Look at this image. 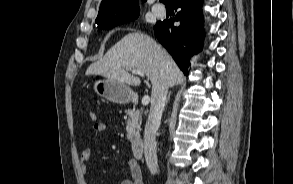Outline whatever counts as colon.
I'll return each mask as SVG.
<instances>
[{
	"instance_id": "5ec220e1",
	"label": "colon",
	"mask_w": 293,
	"mask_h": 184,
	"mask_svg": "<svg viewBox=\"0 0 293 184\" xmlns=\"http://www.w3.org/2000/svg\"><path fill=\"white\" fill-rule=\"evenodd\" d=\"M89 117L93 121L96 120V118H97L96 113L94 111L89 112Z\"/></svg>"
}]
</instances>
